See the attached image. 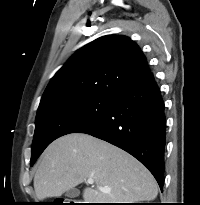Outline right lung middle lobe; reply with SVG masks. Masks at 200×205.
<instances>
[{
    "instance_id": "obj_1",
    "label": "right lung middle lobe",
    "mask_w": 200,
    "mask_h": 205,
    "mask_svg": "<svg viewBox=\"0 0 200 205\" xmlns=\"http://www.w3.org/2000/svg\"><path fill=\"white\" fill-rule=\"evenodd\" d=\"M114 98L86 95L67 98L37 112L30 165L60 136L76 132L101 117Z\"/></svg>"
}]
</instances>
